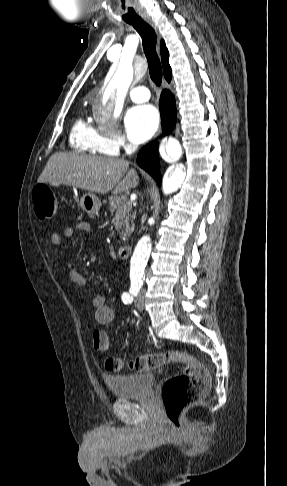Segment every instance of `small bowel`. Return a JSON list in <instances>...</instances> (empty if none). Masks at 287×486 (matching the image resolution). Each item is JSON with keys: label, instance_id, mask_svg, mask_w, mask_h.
Masks as SVG:
<instances>
[{"label": "small bowel", "instance_id": "c3829d8e", "mask_svg": "<svg viewBox=\"0 0 287 486\" xmlns=\"http://www.w3.org/2000/svg\"><path fill=\"white\" fill-rule=\"evenodd\" d=\"M92 227L86 220L78 221L63 229L62 232H54L51 235V242L55 246H61L64 238H72L78 232H91ZM70 280L80 287L87 286L86 278L76 269L69 272ZM91 303L95 308L94 317L98 324L108 325L115 317V312L112 307L105 304L104 298L99 294H94L91 297Z\"/></svg>", "mask_w": 287, "mask_h": 486}]
</instances>
